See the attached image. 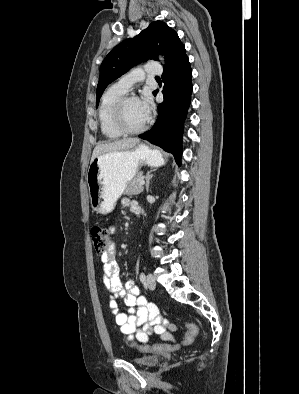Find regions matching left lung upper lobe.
<instances>
[{"mask_svg":"<svg viewBox=\"0 0 299 394\" xmlns=\"http://www.w3.org/2000/svg\"><path fill=\"white\" fill-rule=\"evenodd\" d=\"M183 47L177 33L161 21L152 22L134 38L115 46L101 64L96 107L105 88L131 67L148 59H157L155 54L165 55L168 65Z\"/></svg>","mask_w":299,"mask_h":394,"instance_id":"1","label":"left lung upper lobe"}]
</instances>
